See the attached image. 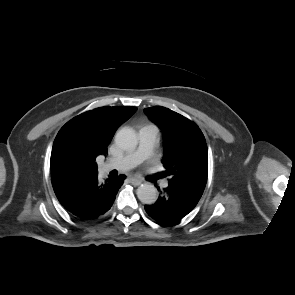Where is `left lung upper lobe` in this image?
Listing matches in <instances>:
<instances>
[{"mask_svg":"<svg viewBox=\"0 0 295 295\" xmlns=\"http://www.w3.org/2000/svg\"><path fill=\"white\" fill-rule=\"evenodd\" d=\"M146 116L162 132L163 174L169 183L204 191L208 175V150L200 128L184 116L161 106L145 108Z\"/></svg>","mask_w":295,"mask_h":295,"instance_id":"obj_1","label":"left lung upper lobe"}]
</instances>
